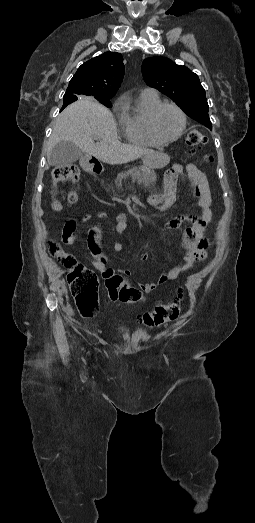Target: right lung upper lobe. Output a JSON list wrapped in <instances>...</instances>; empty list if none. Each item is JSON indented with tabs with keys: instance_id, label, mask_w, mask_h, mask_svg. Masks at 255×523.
<instances>
[{
	"instance_id": "1",
	"label": "right lung upper lobe",
	"mask_w": 255,
	"mask_h": 523,
	"mask_svg": "<svg viewBox=\"0 0 255 523\" xmlns=\"http://www.w3.org/2000/svg\"><path fill=\"white\" fill-rule=\"evenodd\" d=\"M124 77L123 57L117 52H106L82 64L63 97L61 111L78 97L88 100L111 99Z\"/></svg>"
}]
</instances>
